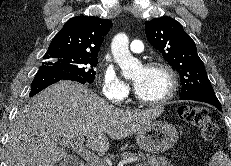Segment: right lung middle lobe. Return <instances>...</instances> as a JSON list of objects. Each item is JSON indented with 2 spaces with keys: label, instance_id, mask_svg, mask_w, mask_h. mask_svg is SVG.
Returning a JSON list of instances; mask_svg holds the SVG:
<instances>
[{
  "label": "right lung middle lobe",
  "instance_id": "obj_1",
  "mask_svg": "<svg viewBox=\"0 0 231 166\" xmlns=\"http://www.w3.org/2000/svg\"><path fill=\"white\" fill-rule=\"evenodd\" d=\"M43 58L42 66H52L79 75L88 83L94 81V67L98 63L96 56L46 53Z\"/></svg>",
  "mask_w": 231,
  "mask_h": 166
}]
</instances>
